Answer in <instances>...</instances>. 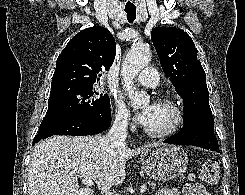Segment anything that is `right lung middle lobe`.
Wrapping results in <instances>:
<instances>
[{
    "mask_svg": "<svg viewBox=\"0 0 245 195\" xmlns=\"http://www.w3.org/2000/svg\"><path fill=\"white\" fill-rule=\"evenodd\" d=\"M110 107L107 94L98 93L93 86L71 87L50 93L48 110L40 129L76 115Z\"/></svg>",
    "mask_w": 245,
    "mask_h": 195,
    "instance_id": "1",
    "label": "right lung middle lobe"
}]
</instances>
